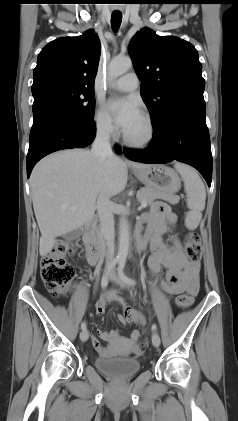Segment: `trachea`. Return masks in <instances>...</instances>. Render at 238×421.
<instances>
[{
    "label": "trachea",
    "mask_w": 238,
    "mask_h": 421,
    "mask_svg": "<svg viewBox=\"0 0 238 421\" xmlns=\"http://www.w3.org/2000/svg\"><path fill=\"white\" fill-rule=\"evenodd\" d=\"M122 21V14L121 13H112L111 15V26L114 31H117L120 27Z\"/></svg>",
    "instance_id": "1"
}]
</instances>
